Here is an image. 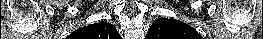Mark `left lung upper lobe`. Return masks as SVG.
<instances>
[{
  "label": "left lung upper lobe",
  "mask_w": 263,
  "mask_h": 39,
  "mask_svg": "<svg viewBox=\"0 0 263 39\" xmlns=\"http://www.w3.org/2000/svg\"><path fill=\"white\" fill-rule=\"evenodd\" d=\"M145 39H203L199 33L186 23L168 18L154 22Z\"/></svg>",
  "instance_id": "obj_1"
}]
</instances>
